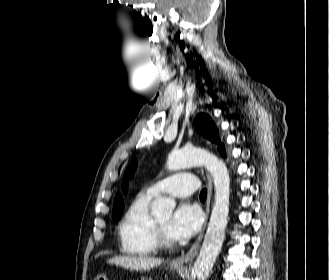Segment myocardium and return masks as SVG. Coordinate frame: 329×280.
Listing matches in <instances>:
<instances>
[{
    "label": "myocardium",
    "instance_id": "obj_1",
    "mask_svg": "<svg viewBox=\"0 0 329 280\" xmlns=\"http://www.w3.org/2000/svg\"><path fill=\"white\" fill-rule=\"evenodd\" d=\"M153 236L157 247L171 248L174 246V242L166 236L161 226L157 222L156 218L154 217H153Z\"/></svg>",
    "mask_w": 329,
    "mask_h": 280
}]
</instances>
